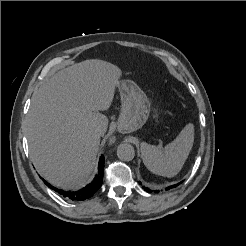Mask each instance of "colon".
<instances>
[{
	"mask_svg": "<svg viewBox=\"0 0 246 246\" xmlns=\"http://www.w3.org/2000/svg\"><path fill=\"white\" fill-rule=\"evenodd\" d=\"M159 115H160V112L158 110H155L154 116H155L156 119L159 118Z\"/></svg>",
	"mask_w": 246,
	"mask_h": 246,
	"instance_id": "5ec220e1",
	"label": "colon"
}]
</instances>
